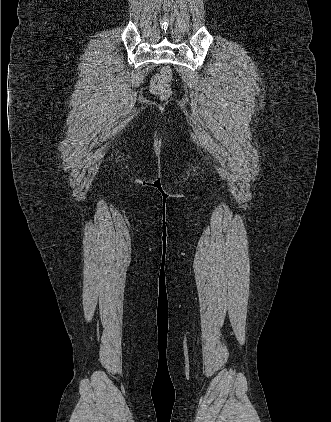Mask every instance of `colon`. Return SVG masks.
I'll return each mask as SVG.
<instances>
[{
    "mask_svg": "<svg viewBox=\"0 0 331 422\" xmlns=\"http://www.w3.org/2000/svg\"><path fill=\"white\" fill-rule=\"evenodd\" d=\"M172 71L170 67H163L151 80V91L155 95L163 99H167L171 96V89L169 82L171 80Z\"/></svg>",
    "mask_w": 331,
    "mask_h": 422,
    "instance_id": "colon-1",
    "label": "colon"
}]
</instances>
